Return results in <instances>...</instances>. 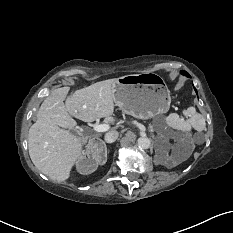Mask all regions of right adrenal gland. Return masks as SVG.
Masks as SVG:
<instances>
[{"label": "right adrenal gland", "mask_w": 233, "mask_h": 233, "mask_svg": "<svg viewBox=\"0 0 233 233\" xmlns=\"http://www.w3.org/2000/svg\"><path fill=\"white\" fill-rule=\"evenodd\" d=\"M104 145H105V143H104ZM105 150H106V153H107V148H106V146H105Z\"/></svg>", "instance_id": "right-adrenal-gland-1"}]
</instances>
